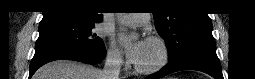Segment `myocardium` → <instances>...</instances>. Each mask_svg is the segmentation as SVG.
<instances>
[{"label":"myocardium","mask_w":255,"mask_h":79,"mask_svg":"<svg viewBox=\"0 0 255 79\" xmlns=\"http://www.w3.org/2000/svg\"><path fill=\"white\" fill-rule=\"evenodd\" d=\"M147 42L155 43L158 45L160 49V59L154 66L148 68L140 67L135 64L134 69L137 73L140 74H151L160 71L167 65L170 57L168 45L162 38L157 36H150L147 38Z\"/></svg>","instance_id":"f54148a6"}]
</instances>
